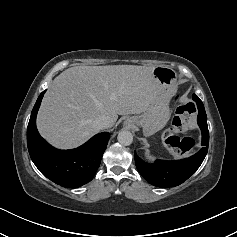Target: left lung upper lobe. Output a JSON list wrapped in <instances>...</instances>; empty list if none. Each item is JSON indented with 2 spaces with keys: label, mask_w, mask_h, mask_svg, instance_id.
Returning <instances> with one entry per match:
<instances>
[{
  "label": "left lung upper lobe",
  "mask_w": 237,
  "mask_h": 237,
  "mask_svg": "<svg viewBox=\"0 0 237 237\" xmlns=\"http://www.w3.org/2000/svg\"><path fill=\"white\" fill-rule=\"evenodd\" d=\"M193 100L196 102L197 104V108H198V112H201V111H204L205 112V109H204V106H203V103L202 101L198 98V96H193Z\"/></svg>",
  "instance_id": "1"
}]
</instances>
